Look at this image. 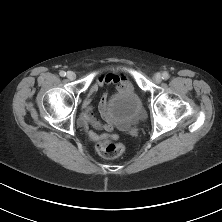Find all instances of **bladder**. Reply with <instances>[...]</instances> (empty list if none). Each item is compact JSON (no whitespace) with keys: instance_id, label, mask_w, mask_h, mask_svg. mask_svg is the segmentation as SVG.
<instances>
[{"instance_id":"bladder-1","label":"bladder","mask_w":222,"mask_h":222,"mask_svg":"<svg viewBox=\"0 0 222 222\" xmlns=\"http://www.w3.org/2000/svg\"><path fill=\"white\" fill-rule=\"evenodd\" d=\"M107 113L114 120L129 123H138L145 118L142 100L133 90L113 95L108 102Z\"/></svg>"}]
</instances>
